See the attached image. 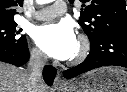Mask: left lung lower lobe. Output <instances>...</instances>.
<instances>
[{"label": "left lung lower lobe", "instance_id": "left-lung-lower-lobe-1", "mask_svg": "<svg viewBox=\"0 0 127 92\" xmlns=\"http://www.w3.org/2000/svg\"><path fill=\"white\" fill-rule=\"evenodd\" d=\"M116 65L127 68V34L103 33L91 43L90 53L85 61L64 71L67 79L76 77L92 69Z\"/></svg>", "mask_w": 127, "mask_h": 92}]
</instances>
